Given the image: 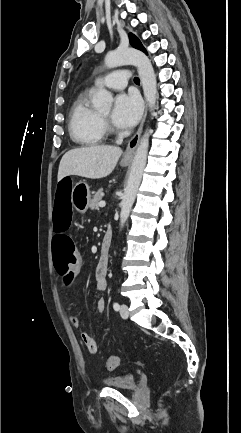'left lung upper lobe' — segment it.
Wrapping results in <instances>:
<instances>
[{"label": "left lung upper lobe", "instance_id": "obj_1", "mask_svg": "<svg viewBox=\"0 0 241 433\" xmlns=\"http://www.w3.org/2000/svg\"><path fill=\"white\" fill-rule=\"evenodd\" d=\"M129 39H130V43H131V45H132L134 48H136V49H138V50H141V51H143L145 54H147L146 49L143 47L142 43L140 42V40H139L135 35L130 34V35H129Z\"/></svg>", "mask_w": 241, "mask_h": 433}]
</instances>
